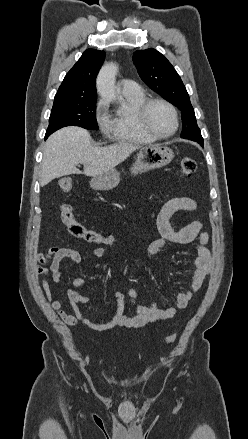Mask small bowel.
I'll return each mask as SVG.
<instances>
[{"label": "small bowel", "mask_w": 248, "mask_h": 439, "mask_svg": "<svg viewBox=\"0 0 248 439\" xmlns=\"http://www.w3.org/2000/svg\"><path fill=\"white\" fill-rule=\"evenodd\" d=\"M197 202L190 197H175L167 201L161 208L156 226L160 234V238L152 241L146 251L147 259L151 260L157 253L163 250L168 244H189L196 239L200 243L194 249L193 272L189 278L190 288L180 292L177 295L175 305L168 308H160L157 302H153L150 306H137L132 314L126 311L125 296L121 292L114 295L115 312L112 318L107 321L97 322L87 318L79 309V304L89 302V297L82 295L79 288L84 284L82 279H76L73 288L67 290V298L71 313H67L62 309L63 301L60 297L53 299L49 277L54 283L61 280V264L65 259L71 260L76 265H81L83 258L81 254L70 247H53L46 253H38L36 260L38 266L36 273L42 276V290L45 298L51 303L52 308L59 317L69 326L78 323L96 331H105L115 327L122 328H141L149 324L173 318L179 310L187 307L188 303L194 298L201 288L204 279L210 273L212 268V256L208 248L209 236L203 231V224L199 220H195L190 224L174 229L170 223L171 217L178 211H195ZM90 252L98 257L107 256L106 251L101 247H93ZM138 296V290L132 288L130 290L131 300L128 306L134 304V299Z\"/></svg>", "instance_id": "1"}]
</instances>
